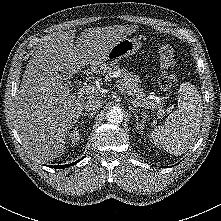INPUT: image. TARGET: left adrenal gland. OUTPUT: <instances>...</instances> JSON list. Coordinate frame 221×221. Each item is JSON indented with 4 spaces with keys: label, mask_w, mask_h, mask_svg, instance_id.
Wrapping results in <instances>:
<instances>
[{
    "label": "left adrenal gland",
    "mask_w": 221,
    "mask_h": 221,
    "mask_svg": "<svg viewBox=\"0 0 221 221\" xmlns=\"http://www.w3.org/2000/svg\"><path fill=\"white\" fill-rule=\"evenodd\" d=\"M129 109L133 112L135 118H136V128L138 129L139 127V124H138V121H139V116H138V112L133 108V107H129Z\"/></svg>",
    "instance_id": "a2214340"
}]
</instances>
